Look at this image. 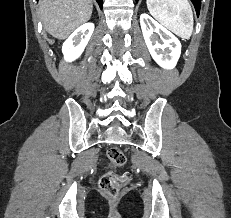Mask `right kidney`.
Masks as SVG:
<instances>
[{
	"mask_svg": "<svg viewBox=\"0 0 231 218\" xmlns=\"http://www.w3.org/2000/svg\"><path fill=\"white\" fill-rule=\"evenodd\" d=\"M94 31L93 23H85L78 27L64 42L62 52L67 62H72L80 57L84 51L92 33Z\"/></svg>",
	"mask_w": 231,
	"mask_h": 218,
	"instance_id": "ca27d5eb",
	"label": "right kidney"
}]
</instances>
